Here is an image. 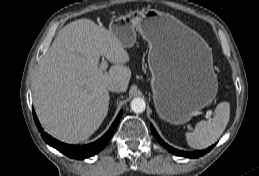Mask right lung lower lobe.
<instances>
[{"label": "right lung lower lobe", "mask_w": 259, "mask_h": 176, "mask_svg": "<svg viewBox=\"0 0 259 176\" xmlns=\"http://www.w3.org/2000/svg\"><path fill=\"white\" fill-rule=\"evenodd\" d=\"M121 115H122V112H120L118 114L115 121L111 125L110 129L100 139H98L97 141H95L91 144H88V145L74 146V145L64 144V143L59 142L58 140L52 138L47 133H43V134H41V136L45 140L46 143H48L50 146L56 148L63 154L67 155L68 157L75 158V159H84V158L97 154L99 151H101L106 146V144L108 143L110 138L113 136V134L118 126ZM33 117H34V121L36 123L38 130L40 132H43V129L41 128L34 111H33Z\"/></svg>", "instance_id": "1"}]
</instances>
